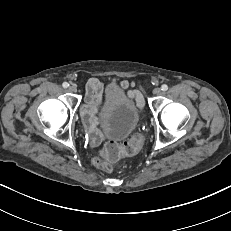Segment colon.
Instances as JSON below:
<instances>
[{"label": "colon", "instance_id": "obj_1", "mask_svg": "<svg viewBox=\"0 0 231 231\" xmlns=\"http://www.w3.org/2000/svg\"><path fill=\"white\" fill-rule=\"evenodd\" d=\"M143 141L144 134L142 132L136 133L128 141L122 144L109 141L101 149L100 156L93 158V164L103 171L111 172L114 169L112 162L124 155H134L143 144Z\"/></svg>", "mask_w": 231, "mask_h": 231}]
</instances>
